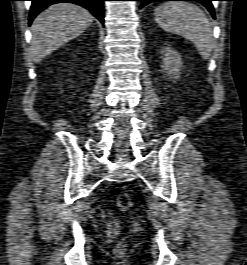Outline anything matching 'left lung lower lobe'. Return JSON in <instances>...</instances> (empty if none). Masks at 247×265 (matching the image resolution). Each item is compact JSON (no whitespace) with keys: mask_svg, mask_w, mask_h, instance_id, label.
Returning <instances> with one entry per match:
<instances>
[{"mask_svg":"<svg viewBox=\"0 0 247 265\" xmlns=\"http://www.w3.org/2000/svg\"><path fill=\"white\" fill-rule=\"evenodd\" d=\"M137 1H141V5L140 8L144 7L145 5L152 3V2H159V1H176V0H137ZM177 1H196L201 3L202 5H204L209 12L211 13V15L213 16V18H215V13H214V8L212 5V1L214 0H177Z\"/></svg>","mask_w":247,"mask_h":265,"instance_id":"left-lung-lower-lobe-1","label":"left lung lower lobe"}]
</instances>
